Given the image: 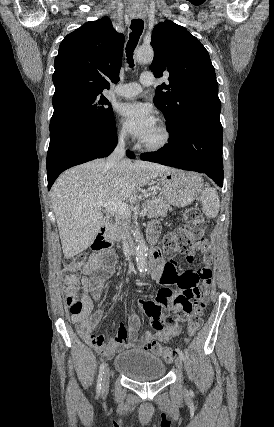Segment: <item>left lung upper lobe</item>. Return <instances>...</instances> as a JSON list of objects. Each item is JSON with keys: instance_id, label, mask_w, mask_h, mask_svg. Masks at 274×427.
<instances>
[{"instance_id": "5c2ea615", "label": "left lung upper lobe", "mask_w": 274, "mask_h": 427, "mask_svg": "<svg viewBox=\"0 0 274 427\" xmlns=\"http://www.w3.org/2000/svg\"><path fill=\"white\" fill-rule=\"evenodd\" d=\"M151 46V71L155 77L169 75L167 84L157 87L153 101L165 115L170 137L178 136L196 120L220 121L215 70L199 40L186 28L166 20L154 27Z\"/></svg>"}]
</instances>
